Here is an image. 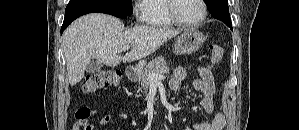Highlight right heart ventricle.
Returning <instances> with one entry per match:
<instances>
[{
  "label": "right heart ventricle",
  "mask_w": 299,
  "mask_h": 130,
  "mask_svg": "<svg viewBox=\"0 0 299 130\" xmlns=\"http://www.w3.org/2000/svg\"><path fill=\"white\" fill-rule=\"evenodd\" d=\"M143 20L151 27H171L175 23L168 15L167 0H146L143 8Z\"/></svg>",
  "instance_id": "1"
}]
</instances>
